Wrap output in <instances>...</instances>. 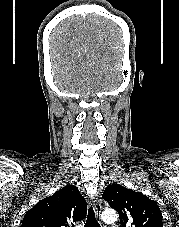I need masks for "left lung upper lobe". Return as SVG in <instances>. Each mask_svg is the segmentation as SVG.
<instances>
[{
    "label": "left lung upper lobe",
    "mask_w": 179,
    "mask_h": 227,
    "mask_svg": "<svg viewBox=\"0 0 179 227\" xmlns=\"http://www.w3.org/2000/svg\"><path fill=\"white\" fill-rule=\"evenodd\" d=\"M103 199L118 211L123 227H163L159 206L142 193L112 184L103 192Z\"/></svg>",
    "instance_id": "5c2ea615"
}]
</instances>
